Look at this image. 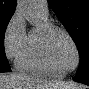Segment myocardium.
Instances as JSON below:
<instances>
[{
  "instance_id": "f54148a6",
  "label": "myocardium",
  "mask_w": 89,
  "mask_h": 89,
  "mask_svg": "<svg viewBox=\"0 0 89 89\" xmlns=\"http://www.w3.org/2000/svg\"><path fill=\"white\" fill-rule=\"evenodd\" d=\"M57 33H62L63 35H65L75 50L76 64L72 69L62 71L59 69L57 63L55 62V58H54L53 52H52V40ZM41 39H42V45H43V49H44L46 58L54 70L60 72L63 75H66L70 72L75 71L79 67V65H80L79 48H78L75 40L71 36V34L66 29H64L60 26L54 25V24L43 25L42 31H41Z\"/></svg>"
}]
</instances>
